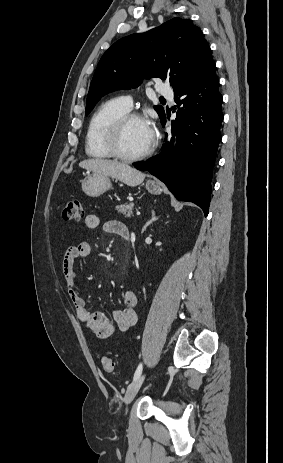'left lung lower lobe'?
I'll return each instance as SVG.
<instances>
[{
  "label": "left lung lower lobe",
  "mask_w": 283,
  "mask_h": 463,
  "mask_svg": "<svg viewBox=\"0 0 283 463\" xmlns=\"http://www.w3.org/2000/svg\"><path fill=\"white\" fill-rule=\"evenodd\" d=\"M212 62L203 72L174 90L176 119L162 152L147 162L135 163L166 184L180 201H189L208 215L211 180L221 141L222 95ZM166 123V118L162 124ZM167 136V134H166Z\"/></svg>",
  "instance_id": "1"
}]
</instances>
